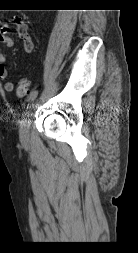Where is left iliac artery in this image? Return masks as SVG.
<instances>
[{"label": "left iliac artery", "instance_id": "left-iliac-artery-1", "mask_svg": "<svg viewBox=\"0 0 138 253\" xmlns=\"http://www.w3.org/2000/svg\"><path fill=\"white\" fill-rule=\"evenodd\" d=\"M37 96H38V91L37 90L33 91L29 96L28 102L31 103L32 101H34Z\"/></svg>", "mask_w": 138, "mask_h": 253}]
</instances>
